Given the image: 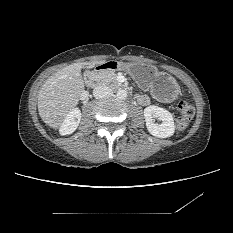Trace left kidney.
<instances>
[{"instance_id": "5707ae66", "label": "left kidney", "mask_w": 233, "mask_h": 233, "mask_svg": "<svg viewBox=\"0 0 233 233\" xmlns=\"http://www.w3.org/2000/svg\"><path fill=\"white\" fill-rule=\"evenodd\" d=\"M146 127L150 134L158 138H167L174 134L175 126L172 114L161 107L150 105L144 109ZM154 118H159L160 124Z\"/></svg>"}]
</instances>
